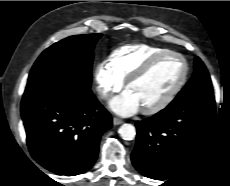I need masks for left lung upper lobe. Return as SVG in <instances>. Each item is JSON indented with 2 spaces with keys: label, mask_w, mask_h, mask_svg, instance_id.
<instances>
[{
  "label": "left lung upper lobe",
  "mask_w": 230,
  "mask_h": 186,
  "mask_svg": "<svg viewBox=\"0 0 230 186\" xmlns=\"http://www.w3.org/2000/svg\"><path fill=\"white\" fill-rule=\"evenodd\" d=\"M213 94V87L208 71L200 58L195 57L194 74L191 80L179 92L170 105L183 103L193 98H200Z\"/></svg>",
  "instance_id": "1"
}]
</instances>
